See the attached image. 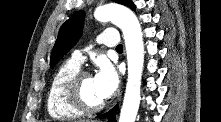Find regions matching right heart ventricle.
I'll return each instance as SVG.
<instances>
[{"mask_svg": "<svg viewBox=\"0 0 221 122\" xmlns=\"http://www.w3.org/2000/svg\"><path fill=\"white\" fill-rule=\"evenodd\" d=\"M80 70L73 60L63 63L53 75L47 92V110L55 119H72L82 116V112L66 100L64 87L69 78Z\"/></svg>", "mask_w": 221, "mask_h": 122, "instance_id": "right-heart-ventricle-1", "label": "right heart ventricle"}]
</instances>
